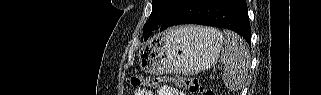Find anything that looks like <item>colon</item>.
Here are the masks:
<instances>
[{
	"mask_svg": "<svg viewBox=\"0 0 321 95\" xmlns=\"http://www.w3.org/2000/svg\"><path fill=\"white\" fill-rule=\"evenodd\" d=\"M167 80L165 76H152V77H141L137 75H131L128 77L127 81L131 86L134 87H151L154 88L158 86L163 81ZM171 81L182 88L187 89L190 93L194 94H204V95H215L216 93L210 89H206L202 86L199 80L185 77V76H175Z\"/></svg>",
	"mask_w": 321,
	"mask_h": 95,
	"instance_id": "colon-1",
	"label": "colon"
}]
</instances>
